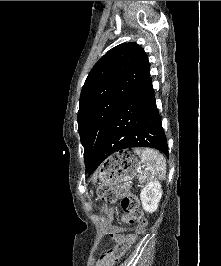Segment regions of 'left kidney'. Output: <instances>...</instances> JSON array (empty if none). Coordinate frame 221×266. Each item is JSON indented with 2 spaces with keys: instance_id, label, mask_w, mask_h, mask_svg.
<instances>
[{
  "instance_id": "obj_1",
  "label": "left kidney",
  "mask_w": 221,
  "mask_h": 266,
  "mask_svg": "<svg viewBox=\"0 0 221 266\" xmlns=\"http://www.w3.org/2000/svg\"><path fill=\"white\" fill-rule=\"evenodd\" d=\"M162 197L161 184L159 181H151L140 193L142 207L146 212L153 213L157 210Z\"/></svg>"
}]
</instances>
